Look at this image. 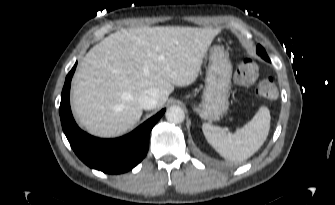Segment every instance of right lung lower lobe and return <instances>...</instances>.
<instances>
[{
    "mask_svg": "<svg viewBox=\"0 0 335 205\" xmlns=\"http://www.w3.org/2000/svg\"><path fill=\"white\" fill-rule=\"evenodd\" d=\"M76 66L77 63L66 76L59 108L62 128L72 149L86 165L104 173L119 174L131 170L147 154L150 132L165 109L128 135L117 139L95 138L77 126L71 113L69 92Z\"/></svg>",
    "mask_w": 335,
    "mask_h": 205,
    "instance_id": "1",
    "label": "right lung lower lobe"
}]
</instances>
